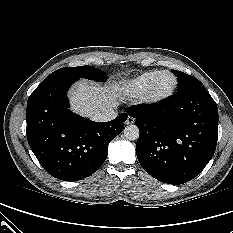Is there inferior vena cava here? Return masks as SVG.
Returning <instances> with one entry per match:
<instances>
[{"label": "inferior vena cava", "mask_w": 233, "mask_h": 233, "mask_svg": "<svg viewBox=\"0 0 233 233\" xmlns=\"http://www.w3.org/2000/svg\"><path fill=\"white\" fill-rule=\"evenodd\" d=\"M117 116V112L110 110L106 112H100L95 114L92 117V120L97 121V122H106L115 119Z\"/></svg>", "instance_id": "obj_1"}]
</instances>
